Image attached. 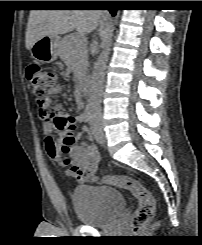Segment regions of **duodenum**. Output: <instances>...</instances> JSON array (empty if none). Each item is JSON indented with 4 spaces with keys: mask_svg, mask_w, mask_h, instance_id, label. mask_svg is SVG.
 Wrapping results in <instances>:
<instances>
[{
    "mask_svg": "<svg viewBox=\"0 0 202 245\" xmlns=\"http://www.w3.org/2000/svg\"><path fill=\"white\" fill-rule=\"evenodd\" d=\"M90 87V80L89 78L85 77L79 80L78 88L81 94L85 95L88 93Z\"/></svg>",
    "mask_w": 202,
    "mask_h": 245,
    "instance_id": "410a0bca",
    "label": "duodenum"
}]
</instances>
